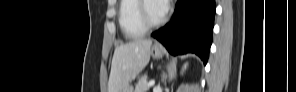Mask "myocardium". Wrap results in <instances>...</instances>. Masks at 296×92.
Returning a JSON list of instances; mask_svg holds the SVG:
<instances>
[{"label":"myocardium","instance_id":"obj_1","mask_svg":"<svg viewBox=\"0 0 296 92\" xmlns=\"http://www.w3.org/2000/svg\"><path fill=\"white\" fill-rule=\"evenodd\" d=\"M150 1L143 0L139 2V8H138V19L141 25L146 29H154L159 27L163 24L165 21V18L162 17L158 21H151L149 19L148 13H147V5Z\"/></svg>","mask_w":296,"mask_h":92}]
</instances>
